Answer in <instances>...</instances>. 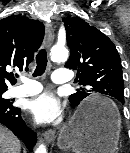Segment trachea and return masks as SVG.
Segmentation results:
<instances>
[{"label": "trachea", "instance_id": "3493384b", "mask_svg": "<svg viewBox=\"0 0 130 153\" xmlns=\"http://www.w3.org/2000/svg\"><path fill=\"white\" fill-rule=\"evenodd\" d=\"M36 69L33 73V76H41L45 73L47 67V53L45 49H41L36 55Z\"/></svg>", "mask_w": 130, "mask_h": 153}]
</instances>
